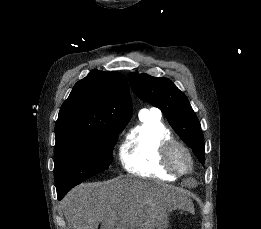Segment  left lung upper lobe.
Instances as JSON below:
<instances>
[{"instance_id":"5c2ea615","label":"left lung upper lobe","mask_w":261,"mask_h":229,"mask_svg":"<svg viewBox=\"0 0 261 229\" xmlns=\"http://www.w3.org/2000/svg\"><path fill=\"white\" fill-rule=\"evenodd\" d=\"M133 92L141 100L158 107L179 137L205 162V143L199 120L185 94L171 80L147 74L130 73Z\"/></svg>"}]
</instances>
